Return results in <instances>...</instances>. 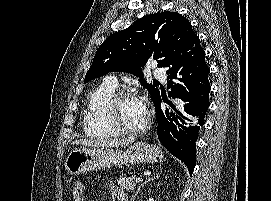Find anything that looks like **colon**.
I'll list each match as a JSON object with an SVG mask.
<instances>
[{"label": "colon", "instance_id": "obj_1", "mask_svg": "<svg viewBox=\"0 0 271 201\" xmlns=\"http://www.w3.org/2000/svg\"><path fill=\"white\" fill-rule=\"evenodd\" d=\"M85 185L82 182H77L73 188V201H84Z\"/></svg>", "mask_w": 271, "mask_h": 201}]
</instances>
